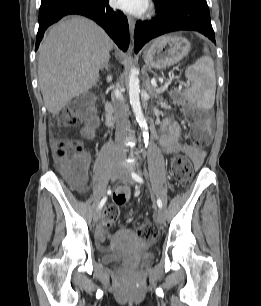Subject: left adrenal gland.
I'll use <instances>...</instances> for the list:
<instances>
[{
    "label": "left adrenal gland",
    "instance_id": "left-adrenal-gland-1",
    "mask_svg": "<svg viewBox=\"0 0 261 306\" xmlns=\"http://www.w3.org/2000/svg\"><path fill=\"white\" fill-rule=\"evenodd\" d=\"M145 85H146V89L149 90L150 89V84H149V80L148 79L146 80Z\"/></svg>",
    "mask_w": 261,
    "mask_h": 306
}]
</instances>
